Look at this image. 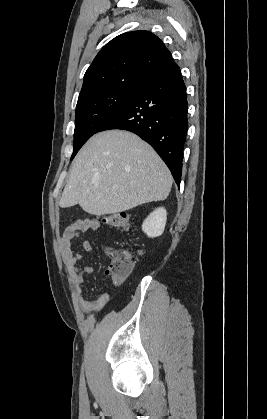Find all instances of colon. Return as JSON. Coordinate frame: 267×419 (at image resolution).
I'll use <instances>...</instances> for the list:
<instances>
[{"label": "colon", "instance_id": "5ec220e1", "mask_svg": "<svg viewBox=\"0 0 267 419\" xmlns=\"http://www.w3.org/2000/svg\"><path fill=\"white\" fill-rule=\"evenodd\" d=\"M99 221L107 226L128 230L131 221L126 213L106 214L99 218ZM136 260V253L128 250H115L111 255V262L107 273L113 277H125L133 269Z\"/></svg>", "mask_w": 267, "mask_h": 419}]
</instances>
